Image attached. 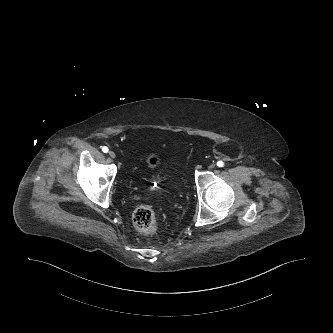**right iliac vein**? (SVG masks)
<instances>
[{
	"instance_id": "obj_1",
	"label": "right iliac vein",
	"mask_w": 333,
	"mask_h": 333,
	"mask_svg": "<svg viewBox=\"0 0 333 333\" xmlns=\"http://www.w3.org/2000/svg\"><path fill=\"white\" fill-rule=\"evenodd\" d=\"M109 156H110L111 158H115V157H116V154H115V152H113V151H109Z\"/></svg>"
}]
</instances>
